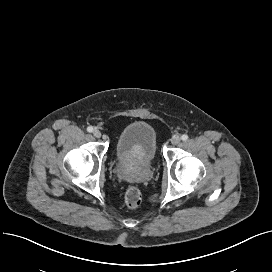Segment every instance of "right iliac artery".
Instances as JSON below:
<instances>
[{
  "label": "right iliac artery",
  "mask_w": 272,
  "mask_h": 272,
  "mask_svg": "<svg viewBox=\"0 0 272 272\" xmlns=\"http://www.w3.org/2000/svg\"><path fill=\"white\" fill-rule=\"evenodd\" d=\"M93 130H94V129H93L92 126H89V127L87 128V131H88V132H93Z\"/></svg>",
  "instance_id": "obj_1"
}]
</instances>
